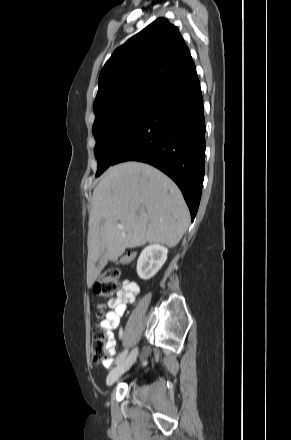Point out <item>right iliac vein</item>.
I'll return each instance as SVG.
<instances>
[{
	"label": "right iliac vein",
	"instance_id": "right-iliac-vein-1",
	"mask_svg": "<svg viewBox=\"0 0 291 440\" xmlns=\"http://www.w3.org/2000/svg\"><path fill=\"white\" fill-rule=\"evenodd\" d=\"M137 354V348L133 349L131 353L118 366L111 370L106 380L108 386L113 385L118 380V378L133 365L137 358Z\"/></svg>",
	"mask_w": 291,
	"mask_h": 440
}]
</instances>
